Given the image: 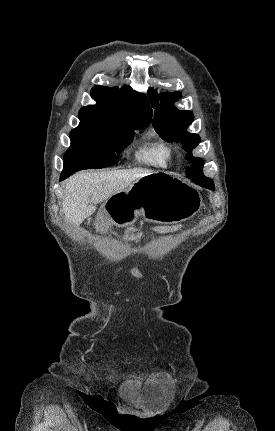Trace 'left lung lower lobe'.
I'll return each mask as SVG.
<instances>
[{
	"mask_svg": "<svg viewBox=\"0 0 275 431\" xmlns=\"http://www.w3.org/2000/svg\"><path fill=\"white\" fill-rule=\"evenodd\" d=\"M194 183L204 188H208L211 190L215 189L214 183L210 178L205 177L204 175H187Z\"/></svg>",
	"mask_w": 275,
	"mask_h": 431,
	"instance_id": "1",
	"label": "left lung lower lobe"
}]
</instances>
